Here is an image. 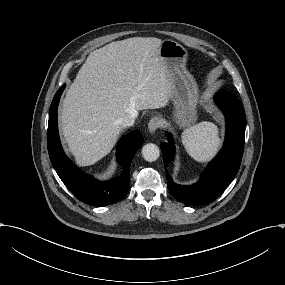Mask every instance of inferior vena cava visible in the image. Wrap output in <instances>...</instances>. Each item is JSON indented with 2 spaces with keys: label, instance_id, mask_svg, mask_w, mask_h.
<instances>
[{
  "label": "inferior vena cava",
  "instance_id": "inferior-vena-cava-1",
  "mask_svg": "<svg viewBox=\"0 0 285 285\" xmlns=\"http://www.w3.org/2000/svg\"><path fill=\"white\" fill-rule=\"evenodd\" d=\"M139 112L136 109H131L127 114L117 120V123L123 127L131 126L135 123Z\"/></svg>",
  "mask_w": 285,
  "mask_h": 285
}]
</instances>
